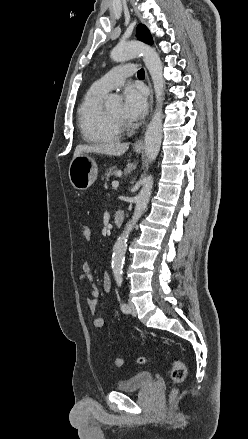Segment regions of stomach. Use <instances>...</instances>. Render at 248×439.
<instances>
[{"instance_id": "stomach-1", "label": "stomach", "mask_w": 248, "mask_h": 439, "mask_svg": "<svg viewBox=\"0 0 248 439\" xmlns=\"http://www.w3.org/2000/svg\"><path fill=\"white\" fill-rule=\"evenodd\" d=\"M140 152V149H136ZM97 165L95 160L88 154L83 153L74 157L69 165V179L72 186L77 190L88 189L97 178Z\"/></svg>"}]
</instances>
